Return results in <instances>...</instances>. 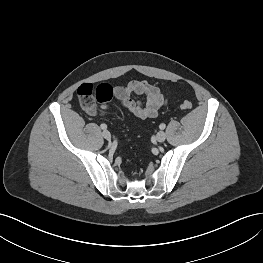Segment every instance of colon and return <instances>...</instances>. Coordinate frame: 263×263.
<instances>
[{"label": "colon", "mask_w": 263, "mask_h": 263, "mask_svg": "<svg viewBox=\"0 0 263 263\" xmlns=\"http://www.w3.org/2000/svg\"><path fill=\"white\" fill-rule=\"evenodd\" d=\"M80 106L85 110L95 107V103L109 102L113 97V88L109 84H100L94 87L92 84H81L76 92ZM180 107L184 110L192 108V103L188 100L181 102Z\"/></svg>", "instance_id": "1"}]
</instances>
